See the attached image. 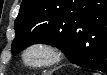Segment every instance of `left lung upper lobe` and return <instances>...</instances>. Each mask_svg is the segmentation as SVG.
<instances>
[{"mask_svg":"<svg viewBox=\"0 0 107 75\" xmlns=\"http://www.w3.org/2000/svg\"><path fill=\"white\" fill-rule=\"evenodd\" d=\"M98 7L89 0H23L14 23V54L34 43H47L66 55L84 52L77 39L80 24Z\"/></svg>","mask_w":107,"mask_h":75,"instance_id":"5c2ea615","label":"left lung upper lobe"}]
</instances>
